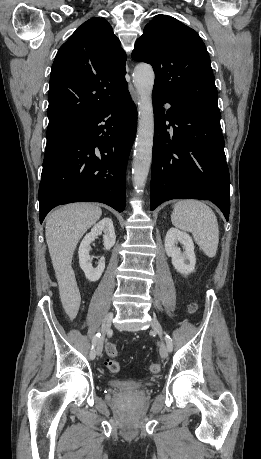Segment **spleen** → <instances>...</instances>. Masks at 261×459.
<instances>
[{
	"label": "spleen",
	"instance_id": "spleen-1",
	"mask_svg": "<svg viewBox=\"0 0 261 459\" xmlns=\"http://www.w3.org/2000/svg\"><path fill=\"white\" fill-rule=\"evenodd\" d=\"M172 224L191 232L195 242L209 258H214L219 244V228L213 210L199 200H181L174 205Z\"/></svg>",
	"mask_w": 261,
	"mask_h": 459
}]
</instances>
